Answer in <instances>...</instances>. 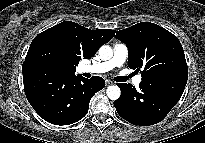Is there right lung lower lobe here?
I'll use <instances>...</instances> for the list:
<instances>
[{"mask_svg":"<svg viewBox=\"0 0 205 143\" xmlns=\"http://www.w3.org/2000/svg\"><path fill=\"white\" fill-rule=\"evenodd\" d=\"M22 72L29 103L41 118L55 125H69L82 119L91 98L105 86L99 76L86 79L38 63H24Z\"/></svg>","mask_w":205,"mask_h":143,"instance_id":"right-lung-lower-lobe-1","label":"right lung lower lobe"}]
</instances>
